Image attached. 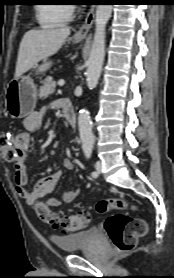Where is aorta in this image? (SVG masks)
I'll return each instance as SVG.
<instances>
[{
    "label": "aorta",
    "instance_id": "aorta-1",
    "mask_svg": "<svg viewBox=\"0 0 174 278\" xmlns=\"http://www.w3.org/2000/svg\"><path fill=\"white\" fill-rule=\"evenodd\" d=\"M112 13V5H98L95 18V33L88 59L86 80L88 87H96L102 71L105 57L106 24ZM78 126L83 151H92L94 136L90 114L87 109H82L78 116Z\"/></svg>",
    "mask_w": 174,
    "mask_h": 278
}]
</instances>
